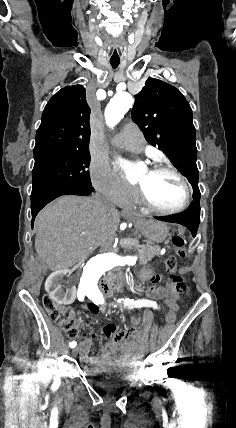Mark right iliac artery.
I'll list each match as a JSON object with an SVG mask.
<instances>
[{
  "instance_id": "1",
  "label": "right iliac artery",
  "mask_w": 236,
  "mask_h": 428,
  "mask_svg": "<svg viewBox=\"0 0 236 428\" xmlns=\"http://www.w3.org/2000/svg\"><path fill=\"white\" fill-rule=\"evenodd\" d=\"M85 297V293L84 292H77V298L79 301H83ZM71 348H74L77 345V342L73 341L71 343H69Z\"/></svg>"
}]
</instances>
